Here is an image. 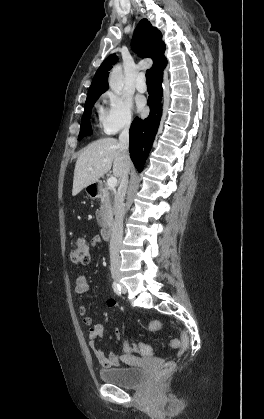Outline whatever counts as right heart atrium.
<instances>
[{"instance_id": "obj_1", "label": "right heart atrium", "mask_w": 264, "mask_h": 419, "mask_svg": "<svg viewBox=\"0 0 264 419\" xmlns=\"http://www.w3.org/2000/svg\"><path fill=\"white\" fill-rule=\"evenodd\" d=\"M107 107L100 114V126L107 135L128 129L133 121L132 103L125 96L109 92Z\"/></svg>"}]
</instances>
